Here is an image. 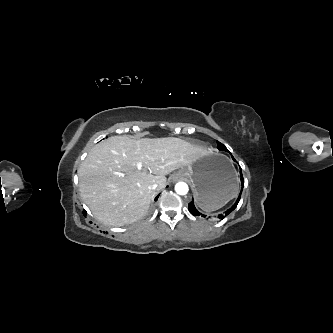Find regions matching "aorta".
Wrapping results in <instances>:
<instances>
[{"label":"aorta","instance_id":"762f6f07","mask_svg":"<svg viewBox=\"0 0 333 333\" xmlns=\"http://www.w3.org/2000/svg\"><path fill=\"white\" fill-rule=\"evenodd\" d=\"M188 190H189L188 185L185 182H178L175 185V191L179 195H185V194H187Z\"/></svg>","mask_w":333,"mask_h":333}]
</instances>
